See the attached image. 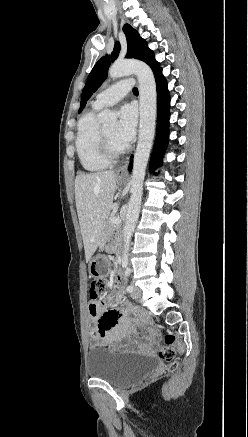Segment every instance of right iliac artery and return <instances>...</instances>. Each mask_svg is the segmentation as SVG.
Instances as JSON below:
<instances>
[{"label": "right iliac artery", "mask_w": 248, "mask_h": 437, "mask_svg": "<svg viewBox=\"0 0 248 437\" xmlns=\"http://www.w3.org/2000/svg\"><path fill=\"white\" fill-rule=\"evenodd\" d=\"M127 264H128V260L127 259H125L124 261H123V264H122V266L125 268V267H127Z\"/></svg>", "instance_id": "1"}]
</instances>
